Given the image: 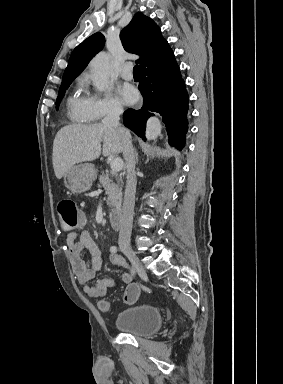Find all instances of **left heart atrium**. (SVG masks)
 Segmentation results:
<instances>
[{
    "instance_id": "1",
    "label": "left heart atrium",
    "mask_w": 283,
    "mask_h": 384,
    "mask_svg": "<svg viewBox=\"0 0 283 384\" xmlns=\"http://www.w3.org/2000/svg\"><path fill=\"white\" fill-rule=\"evenodd\" d=\"M119 93H120L122 100L127 105H133L139 99V95H138L137 90L134 87L127 85V84L120 87Z\"/></svg>"
}]
</instances>
